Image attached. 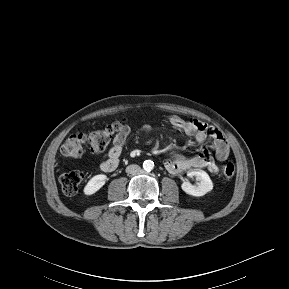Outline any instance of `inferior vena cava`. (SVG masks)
Segmentation results:
<instances>
[{
	"label": "inferior vena cava",
	"instance_id": "inferior-vena-cava-1",
	"mask_svg": "<svg viewBox=\"0 0 289 289\" xmlns=\"http://www.w3.org/2000/svg\"><path fill=\"white\" fill-rule=\"evenodd\" d=\"M140 171H141L140 166L136 164L129 165L126 168V173L128 174H136V173H139Z\"/></svg>",
	"mask_w": 289,
	"mask_h": 289
}]
</instances>
